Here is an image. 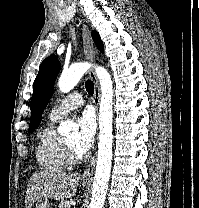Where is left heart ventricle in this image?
<instances>
[{
	"instance_id": "obj_1",
	"label": "left heart ventricle",
	"mask_w": 199,
	"mask_h": 208,
	"mask_svg": "<svg viewBox=\"0 0 199 208\" xmlns=\"http://www.w3.org/2000/svg\"><path fill=\"white\" fill-rule=\"evenodd\" d=\"M77 139H78L77 136L74 135V136H71L70 138H68V139H67V142H68V144H70V145L72 146V148L75 150V152H76L77 154H80V153L76 150V147H75ZM80 155H81V154H80Z\"/></svg>"
}]
</instances>
